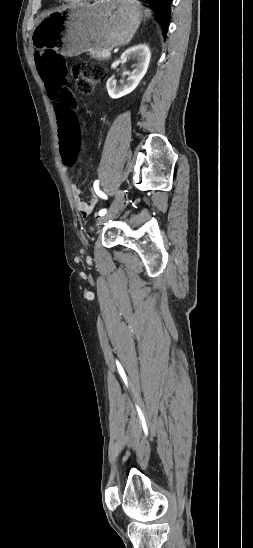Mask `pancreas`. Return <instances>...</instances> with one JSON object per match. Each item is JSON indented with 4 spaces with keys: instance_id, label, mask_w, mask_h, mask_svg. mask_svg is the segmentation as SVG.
I'll return each instance as SVG.
<instances>
[{
    "instance_id": "obj_1",
    "label": "pancreas",
    "mask_w": 253,
    "mask_h": 548,
    "mask_svg": "<svg viewBox=\"0 0 253 548\" xmlns=\"http://www.w3.org/2000/svg\"><path fill=\"white\" fill-rule=\"evenodd\" d=\"M91 54L99 60H107V59L110 58V52L109 51L92 50Z\"/></svg>"
}]
</instances>
